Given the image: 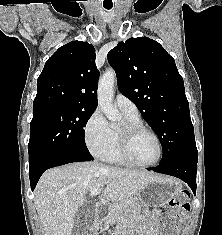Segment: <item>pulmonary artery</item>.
I'll list each match as a JSON object with an SVG mask.
<instances>
[{
  "label": "pulmonary artery",
  "mask_w": 222,
  "mask_h": 235,
  "mask_svg": "<svg viewBox=\"0 0 222 235\" xmlns=\"http://www.w3.org/2000/svg\"><path fill=\"white\" fill-rule=\"evenodd\" d=\"M115 104L123 113H127L129 115H138V109L136 105L121 93L116 95Z\"/></svg>",
  "instance_id": "obj_1"
}]
</instances>
